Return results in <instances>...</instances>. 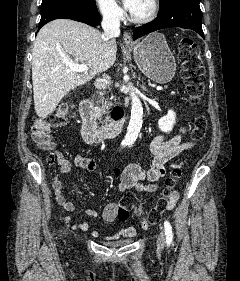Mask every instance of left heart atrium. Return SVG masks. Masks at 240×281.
Segmentation results:
<instances>
[{
	"label": "left heart atrium",
	"instance_id": "39dd6f15",
	"mask_svg": "<svg viewBox=\"0 0 240 281\" xmlns=\"http://www.w3.org/2000/svg\"><path fill=\"white\" fill-rule=\"evenodd\" d=\"M140 2L141 0H123V4L125 8L131 13H133L136 10Z\"/></svg>",
	"mask_w": 240,
	"mask_h": 281
}]
</instances>
